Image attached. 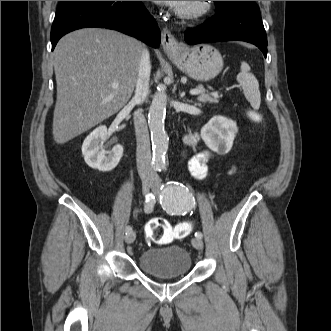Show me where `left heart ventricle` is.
I'll return each instance as SVG.
<instances>
[{"mask_svg": "<svg viewBox=\"0 0 331 331\" xmlns=\"http://www.w3.org/2000/svg\"><path fill=\"white\" fill-rule=\"evenodd\" d=\"M195 1H183L182 4L179 6L181 8H189L194 4Z\"/></svg>", "mask_w": 331, "mask_h": 331, "instance_id": "left-heart-ventricle-1", "label": "left heart ventricle"}]
</instances>
